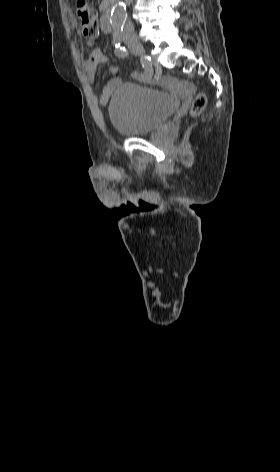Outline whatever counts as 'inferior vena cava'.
I'll return each instance as SVG.
<instances>
[{
    "instance_id": "inferior-vena-cava-1",
    "label": "inferior vena cava",
    "mask_w": 280,
    "mask_h": 472,
    "mask_svg": "<svg viewBox=\"0 0 280 472\" xmlns=\"http://www.w3.org/2000/svg\"><path fill=\"white\" fill-rule=\"evenodd\" d=\"M133 0H125L126 4L127 5H130L132 3ZM129 29L130 31H133V24L132 23H129Z\"/></svg>"
}]
</instances>
